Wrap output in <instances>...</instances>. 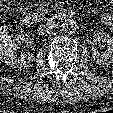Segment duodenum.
<instances>
[{
	"label": "duodenum",
	"instance_id": "duodenum-1",
	"mask_svg": "<svg viewBox=\"0 0 113 113\" xmlns=\"http://www.w3.org/2000/svg\"><path fill=\"white\" fill-rule=\"evenodd\" d=\"M72 12L69 9H59L53 13H47L43 16H39L36 14H26L21 19V25L24 28H30L37 21L44 19L46 21H54V20H66L72 17Z\"/></svg>",
	"mask_w": 113,
	"mask_h": 113
}]
</instances>
